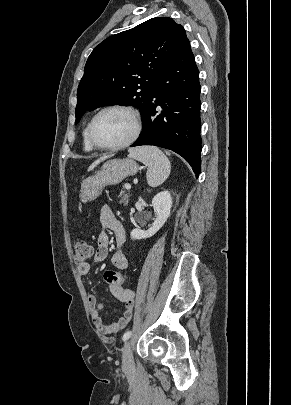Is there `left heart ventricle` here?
Returning a JSON list of instances; mask_svg holds the SVG:
<instances>
[{"label": "left heart ventricle", "instance_id": "1", "mask_svg": "<svg viewBox=\"0 0 291 405\" xmlns=\"http://www.w3.org/2000/svg\"><path fill=\"white\" fill-rule=\"evenodd\" d=\"M134 130L132 117L123 111H108L96 120L93 136L101 145H116L128 139Z\"/></svg>", "mask_w": 291, "mask_h": 405}]
</instances>
